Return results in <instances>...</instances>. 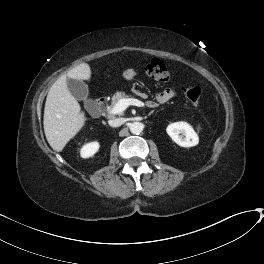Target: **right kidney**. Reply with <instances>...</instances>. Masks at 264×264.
<instances>
[{
	"label": "right kidney",
	"instance_id": "ca27d5eb",
	"mask_svg": "<svg viewBox=\"0 0 264 264\" xmlns=\"http://www.w3.org/2000/svg\"><path fill=\"white\" fill-rule=\"evenodd\" d=\"M98 149V142L87 143L81 148L80 155L82 158H89L92 157L98 151Z\"/></svg>",
	"mask_w": 264,
	"mask_h": 264
}]
</instances>
